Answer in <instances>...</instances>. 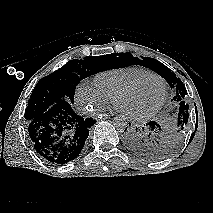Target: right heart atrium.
<instances>
[{"label":"right heart atrium","instance_id":"d8ad5b80","mask_svg":"<svg viewBox=\"0 0 213 213\" xmlns=\"http://www.w3.org/2000/svg\"><path fill=\"white\" fill-rule=\"evenodd\" d=\"M109 98L95 83L81 82L75 90V102L79 109L93 111L109 103Z\"/></svg>","mask_w":213,"mask_h":213}]
</instances>
